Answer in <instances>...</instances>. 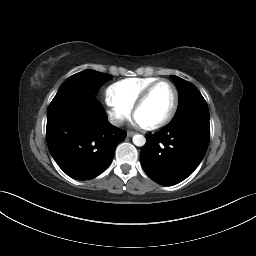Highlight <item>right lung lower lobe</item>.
<instances>
[{"label": "right lung lower lobe", "mask_w": 256, "mask_h": 256, "mask_svg": "<svg viewBox=\"0 0 256 256\" xmlns=\"http://www.w3.org/2000/svg\"><path fill=\"white\" fill-rule=\"evenodd\" d=\"M81 101L56 105L47 112L46 137L49 151L71 178L89 180L111 164L116 146L126 132L111 125L87 85Z\"/></svg>", "instance_id": "98d812e1"}]
</instances>
